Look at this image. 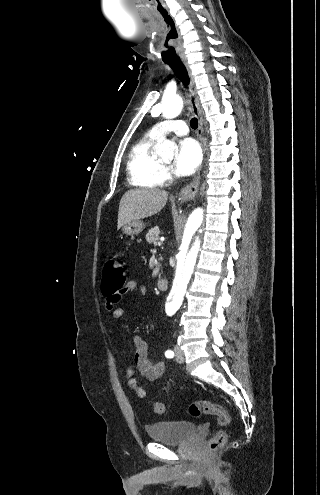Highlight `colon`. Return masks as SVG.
I'll use <instances>...</instances> for the list:
<instances>
[{"label":"colon","mask_w":320,"mask_h":495,"mask_svg":"<svg viewBox=\"0 0 320 495\" xmlns=\"http://www.w3.org/2000/svg\"><path fill=\"white\" fill-rule=\"evenodd\" d=\"M127 279V269L122 260L117 257L108 259L103 268L102 291L104 294L112 292H122ZM156 414H163L165 406L161 402H156L153 405ZM189 413L193 417L202 415H212L217 418V423L220 427H225L230 422L229 413L220 404L213 403L208 400H197L190 404ZM227 435L225 431L218 430L208 441V450L213 452L224 445Z\"/></svg>","instance_id":"obj_1"}]
</instances>
